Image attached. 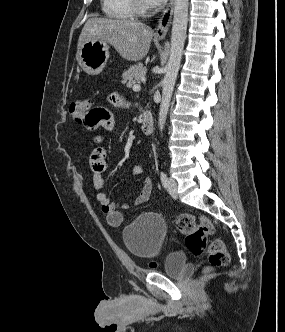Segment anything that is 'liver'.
I'll return each instance as SVG.
<instances>
[{
	"label": "liver",
	"instance_id": "1",
	"mask_svg": "<svg viewBox=\"0 0 285 332\" xmlns=\"http://www.w3.org/2000/svg\"><path fill=\"white\" fill-rule=\"evenodd\" d=\"M153 33L149 26L138 21L93 17L82 29L77 53L87 39H96L112 45L124 59L138 61L148 53Z\"/></svg>",
	"mask_w": 285,
	"mask_h": 332
}]
</instances>
